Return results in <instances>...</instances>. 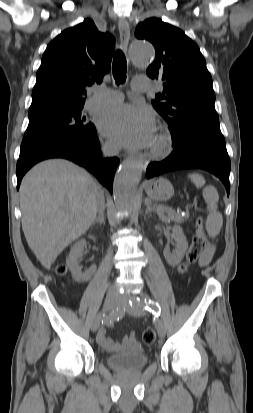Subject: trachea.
Returning a JSON list of instances; mask_svg holds the SVG:
<instances>
[{"label":"trachea","mask_w":253,"mask_h":413,"mask_svg":"<svg viewBox=\"0 0 253 413\" xmlns=\"http://www.w3.org/2000/svg\"><path fill=\"white\" fill-rule=\"evenodd\" d=\"M127 62L124 54L117 50L113 59V77L117 85L123 84L126 80Z\"/></svg>","instance_id":"1"}]
</instances>
